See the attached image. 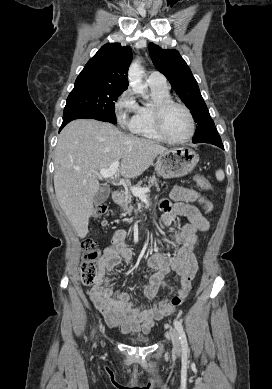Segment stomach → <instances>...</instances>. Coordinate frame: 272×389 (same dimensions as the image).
Listing matches in <instances>:
<instances>
[{
  "mask_svg": "<svg viewBox=\"0 0 272 389\" xmlns=\"http://www.w3.org/2000/svg\"><path fill=\"white\" fill-rule=\"evenodd\" d=\"M199 155L187 147H175L159 154L155 164L157 174L164 178H179L190 173Z\"/></svg>",
  "mask_w": 272,
  "mask_h": 389,
  "instance_id": "0dacf381",
  "label": "stomach"
}]
</instances>
